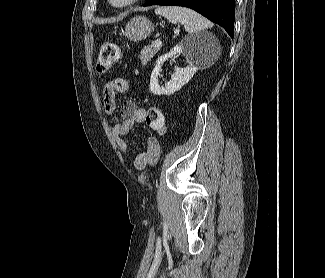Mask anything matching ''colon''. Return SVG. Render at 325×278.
<instances>
[{
  "label": "colon",
  "mask_w": 325,
  "mask_h": 278,
  "mask_svg": "<svg viewBox=\"0 0 325 278\" xmlns=\"http://www.w3.org/2000/svg\"><path fill=\"white\" fill-rule=\"evenodd\" d=\"M120 59V48L114 43H105L100 48L96 69L99 73H105ZM145 122L155 130H162L165 126L164 113L158 107H150L146 112Z\"/></svg>",
  "instance_id": "obj_1"
}]
</instances>
